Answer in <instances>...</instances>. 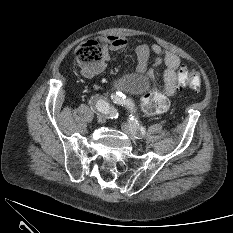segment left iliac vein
Returning a JSON list of instances; mask_svg holds the SVG:
<instances>
[{
    "instance_id": "4c4485c4",
    "label": "left iliac vein",
    "mask_w": 233,
    "mask_h": 233,
    "mask_svg": "<svg viewBox=\"0 0 233 233\" xmlns=\"http://www.w3.org/2000/svg\"><path fill=\"white\" fill-rule=\"evenodd\" d=\"M123 130L134 142L138 141L142 137V134L132 125L130 121L123 125Z\"/></svg>"
}]
</instances>
